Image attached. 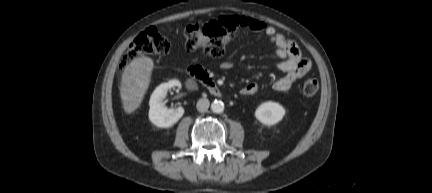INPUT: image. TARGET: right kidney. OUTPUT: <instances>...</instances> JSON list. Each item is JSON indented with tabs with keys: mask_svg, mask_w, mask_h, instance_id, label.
<instances>
[{
	"mask_svg": "<svg viewBox=\"0 0 432 193\" xmlns=\"http://www.w3.org/2000/svg\"><path fill=\"white\" fill-rule=\"evenodd\" d=\"M181 87L179 80H171L167 83L160 84L152 93L149 101V119L157 127L169 128L179 121L184 114V109H168L165 106L164 99L169 89Z\"/></svg>",
	"mask_w": 432,
	"mask_h": 193,
	"instance_id": "1",
	"label": "right kidney"
}]
</instances>
